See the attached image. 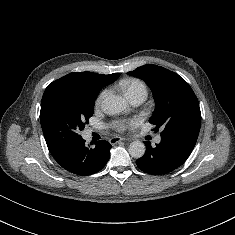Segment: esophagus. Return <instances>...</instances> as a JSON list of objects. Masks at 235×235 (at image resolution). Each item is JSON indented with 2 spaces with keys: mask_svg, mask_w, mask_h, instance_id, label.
I'll list each match as a JSON object with an SVG mask.
<instances>
[{
  "mask_svg": "<svg viewBox=\"0 0 235 235\" xmlns=\"http://www.w3.org/2000/svg\"><path fill=\"white\" fill-rule=\"evenodd\" d=\"M122 141H125L124 138H121V137H112L109 142L110 144L114 145V144H117V143H120Z\"/></svg>",
  "mask_w": 235,
  "mask_h": 235,
  "instance_id": "1",
  "label": "esophagus"
}]
</instances>
